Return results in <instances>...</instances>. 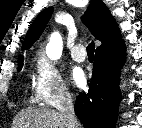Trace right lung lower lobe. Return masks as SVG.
Listing matches in <instances>:
<instances>
[{"instance_id":"right-lung-lower-lobe-1","label":"right lung lower lobe","mask_w":142,"mask_h":128,"mask_svg":"<svg viewBox=\"0 0 142 128\" xmlns=\"http://www.w3.org/2000/svg\"><path fill=\"white\" fill-rule=\"evenodd\" d=\"M125 55L124 43L96 51L89 91L80 93L75 102V113L86 128H115L121 101L120 72Z\"/></svg>"}]
</instances>
